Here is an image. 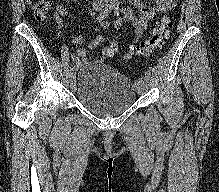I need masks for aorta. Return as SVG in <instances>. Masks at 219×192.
I'll list each match as a JSON object with an SVG mask.
<instances>
[{
  "mask_svg": "<svg viewBox=\"0 0 219 192\" xmlns=\"http://www.w3.org/2000/svg\"><path fill=\"white\" fill-rule=\"evenodd\" d=\"M110 2L113 3V4H119L120 0H110Z\"/></svg>",
  "mask_w": 219,
  "mask_h": 192,
  "instance_id": "762f6f07",
  "label": "aorta"
}]
</instances>
